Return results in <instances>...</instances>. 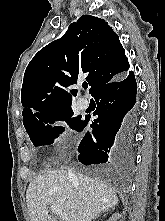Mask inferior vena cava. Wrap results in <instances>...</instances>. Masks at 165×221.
Segmentation results:
<instances>
[{
	"mask_svg": "<svg viewBox=\"0 0 165 221\" xmlns=\"http://www.w3.org/2000/svg\"><path fill=\"white\" fill-rule=\"evenodd\" d=\"M69 175L70 176H74L73 172L71 170H69Z\"/></svg>",
	"mask_w": 165,
	"mask_h": 221,
	"instance_id": "obj_1",
	"label": "inferior vena cava"
}]
</instances>
